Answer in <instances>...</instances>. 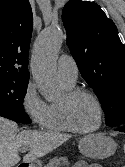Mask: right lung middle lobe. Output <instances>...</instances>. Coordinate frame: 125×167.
<instances>
[{
    "instance_id": "dd1d6c3e",
    "label": "right lung middle lobe",
    "mask_w": 125,
    "mask_h": 167,
    "mask_svg": "<svg viewBox=\"0 0 125 167\" xmlns=\"http://www.w3.org/2000/svg\"><path fill=\"white\" fill-rule=\"evenodd\" d=\"M27 85V81L0 79V104L24 111L23 101Z\"/></svg>"
}]
</instances>
